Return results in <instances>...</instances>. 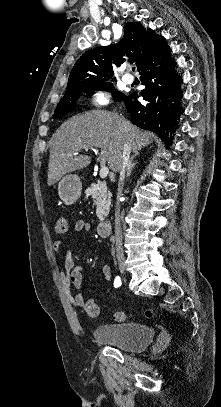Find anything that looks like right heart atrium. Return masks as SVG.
Instances as JSON below:
<instances>
[{"label":"right heart atrium","instance_id":"right-heart-atrium-1","mask_svg":"<svg viewBox=\"0 0 221 407\" xmlns=\"http://www.w3.org/2000/svg\"><path fill=\"white\" fill-rule=\"evenodd\" d=\"M110 99L106 90H95L91 93L90 103L95 107H105L110 103Z\"/></svg>","mask_w":221,"mask_h":407}]
</instances>
